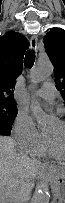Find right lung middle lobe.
I'll return each mask as SVG.
<instances>
[{
  "instance_id": "right-lung-middle-lobe-1",
  "label": "right lung middle lobe",
  "mask_w": 65,
  "mask_h": 203,
  "mask_svg": "<svg viewBox=\"0 0 65 203\" xmlns=\"http://www.w3.org/2000/svg\"><path fill=\"white\" fill-rule=\"evenodd\" d=\"M17 115V106L13 102L0 101V131L9 135Z\"/></svg>"
}]
</instances>
